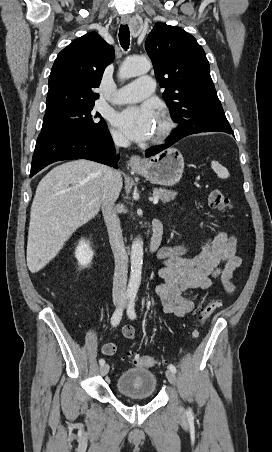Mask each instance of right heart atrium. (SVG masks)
I'll return each mask as SVG.
<instances>
[{
  "mask_svg": "<svg viewBox=\"0 0 272 452\" xmlns=\"http://www.w3.org/2000/svg\"><path fill=\"white\" fill-rule=\"evenodd\" d=\"M112 138L116 144L123 145L126 142L124 135L118 130H112Z\"/></svg>",
  "mask_w": 272,
  "mask_h": 452,
  "instance_id": "obj_1",
  "label": "right heart atrium"
}]
</instances>
